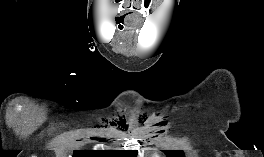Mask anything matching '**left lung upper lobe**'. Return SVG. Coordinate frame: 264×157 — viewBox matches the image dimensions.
<instances>
[{"label": "left lung upper lobe", "mask_w": 264, "mask_h": 157, "mask_svg": "<svg viewBox=\"0 0 264 157\" xmlns=\"http://www.w3.org/2000/svg\"><path fill=\"white\" fill-rule=\"evenodd\" d=\"M167 157H185L181 150H163Z\"/></svg>", "instance_id": "5c2ea615"}]
</instances>
